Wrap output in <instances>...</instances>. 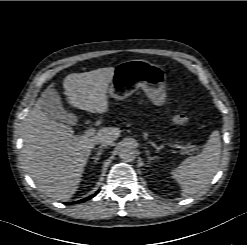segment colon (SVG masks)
I'll return each instance as SVG.
<instances>
[{"mask_svg":"<svg viewBox=\"0 0 247 245\" xmlns=\"http://www.w3.org/2000/svg\"><path fill=\"white\" fill-rule=\"evenodd\" d=\"M188 105H191V102H189ZM188 120H189V115L186 111L176 115L174 118V122L178 125H183L187 123Z\"/></svg>","mask_w":247,"mask_h":245,"instance_id":"colon-1","label":"colon"}]
</instances>
